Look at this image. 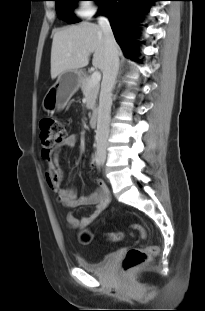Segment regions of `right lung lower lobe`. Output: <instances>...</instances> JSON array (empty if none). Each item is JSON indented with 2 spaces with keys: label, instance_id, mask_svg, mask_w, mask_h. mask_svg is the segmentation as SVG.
<instances>
[{
  "label": "right lung lower lobe",
  "instance_id": "obj_1",
  "mask_svg": "<svg viewBox=\"0 0 205 311\" xmlns=\"http://www.w3.org/2000/svg\"><path fill=\"white\" fill-rule=\"evenodd\" d=\"M151 1L153 0H101L100 2V11L109 18L114 36L127 57L133 56L137 15Z\"/></svg>",
  "mask_w": 205,
  "mask_h": 311
}]
</instances>
